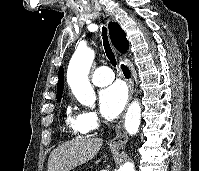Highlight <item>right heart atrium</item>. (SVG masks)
I'll return each instance as SVG.
<instances>
[{"label": "right heart atrium", "mask_w": 199, "mask_h": 171, "mask_svg": "<svg viewBox=\"0 0 199 171\" xmlns=\"http://www.w3.org/2000/svg\"><path fill=\"white\" fill-rule=\"evenodd\" d=\"M81 124L86 133L92 132L99 128L100 118L96 112L86 110L81 114Z\"/></svg>", "instance_id": "d8ad5b80"}]
</instances>
